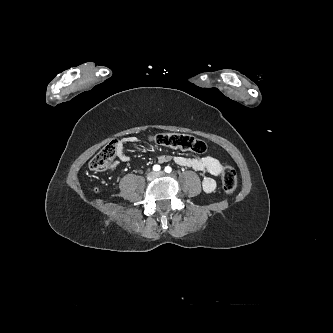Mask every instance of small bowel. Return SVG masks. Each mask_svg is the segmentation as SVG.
<instances>
[{
  "label": "small bowel",
  "instance_id": "small-bowel-1",
  "mask_svg": "<svg viewBox=\"0 0 333 333\" xmlns=\"http://www.w3.org/2000/svg\"><path fill=\"white\" fill-rule=\"evenodd\" d=\"M137 142L136 137H125L119 141H117V153L120 161L124 163L130 162V157L125 151V147L127 145H133ZM159 162L164 163L168 161H173L177 165L182 167H187L193 169L195 171H199L203 174H207L209 176H205L202 180V187L206 193H212L216 189V181L212 178V176H219L222 172V164L218 159L212 156H205L202 158L195 157H185V156H171L162 154L159 156Z\"/></svg>",
  "mask_w": 333,
  "mask_h": 333
}]
</instances>
